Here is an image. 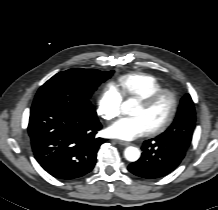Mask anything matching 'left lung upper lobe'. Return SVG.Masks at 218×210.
Returning a JSON list of instances; mask_svg holds the SVG:
<instances>
[{"label":"left lung upper lobe","instance_id":"5c2ea615","mask_svg":"<svg viewBox=\"0 0 218 210\" xmlns=\"http://www.w3.org/2000/svg\"><path fill=\"white\" fill-rule=\"evenodd\" d=\"M195 128V109L192 98L186 94L180 103L177 116L172 125L159 138L168 142L182 141L187 145L192 140V134Z\"/></svg>","mask_w":218,"mask_h":210}]
</instances>
